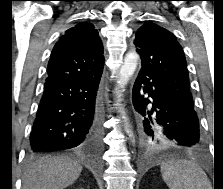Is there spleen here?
<instances>
[{"mask_svg": "<svg viewBox=\"0 0 223 189\" xmlns=\"http://www.w3.org/2000/svg\"><path fill=\"white\" fill-rule=\"evenodd\" d=\"M161 173L170 189H211L205 172L191 161L166 162L161 166Z\"/></svg>", "mask_w": 223, "mask_h": 189, "instance_id": "obj_1", "label": "spleen"}]
</instances>
